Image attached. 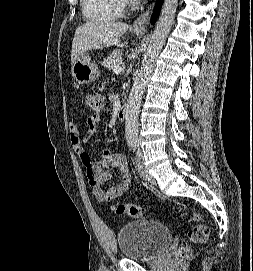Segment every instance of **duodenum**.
<instances>
[{
	"label": "duodenum",
	"mask_w": 253,
	"mask_h": 271,
	"mask_svg": "<svg viewBox=\"0 0 253 271\" xmlns=\"http://www.w3.org/2000/svg\"><path fill=\"white\" fill-rule=\"evenodd\" d=\"M126 112H127V106L126 105H121L120 108L118 109V118L119 120H124L126 117Z\"/></svg>",
	"instance_id": "obj_1"
}]
</instances>
